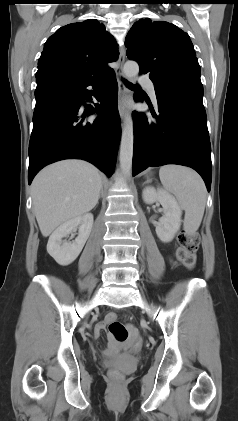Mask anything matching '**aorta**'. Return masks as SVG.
Returning <instances> with one entry per match:
<instances>
[{
  "label": "aorta",
  "mask_w": 238,
  "mask_h": 421,
  "mask_svg": "<svg viewBox=\"0 0 238 421\" xmlns=\"http://www.w3.org/2000/svg\"><path fill=\"white\" fill-rule=\"evenodd\" d=\"M139 65L135 61H127L123 67V73L126 78L133 79L138 75ZM133 143H134V128L131 114H127L121 136L120 147V167L125 175H130L132 168L133 157Z\"/></svg>",
  "instance_id": "obj_1"
}]
</instances>
